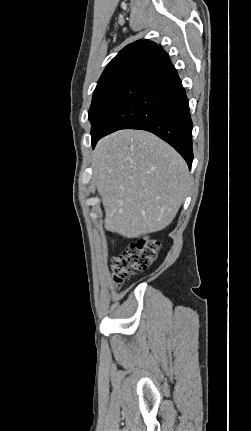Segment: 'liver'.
<instances>
[{"label":"liver","instance_id":"liver-1","mask_svg":"<svg viewBox=\"0 0 251 431\" xmlns=\"http://www.w3.org/2000/svg\"><path fill=\"white\" fill-rule=\"evenodd\" d=\"M92 169L105 227L126 238L166 228L190 185L183 158L141 130H120L102 138L92 156Z\"/></svg>","mask_w":251,"mask_h":431}]
</instances>
